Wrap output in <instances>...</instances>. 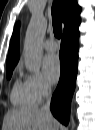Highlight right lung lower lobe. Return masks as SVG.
Listing matches in <instances>:
<instances>
[{
  "label": "right lung lower lobe",
  "mask_w": 95,
  "mask_h": 130,
  "mask_svg": "<svg viewBox=\"0 0 95 130\" xmlns=\"http://www.w3.org/2000/svg\"><path fill=\"white\" fill-rule=\"evenodd\" d=\"M79 48V31L63 35L60 49L61 76L53 94L51 111L63 124H68L69 107L75 88Z\"/></svg>",
  "instance_id": "1"
}]
</instances>
